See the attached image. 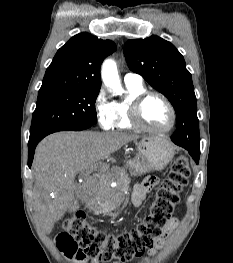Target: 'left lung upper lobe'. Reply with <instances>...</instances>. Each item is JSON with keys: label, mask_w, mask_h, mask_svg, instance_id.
I'll list each match as a JSON object with an SVG mask.
<instances>
[{"label": "left lung upper lobe", "mask_w": 233, "mask_h": 263, "mask_svg": "<svg viewBox=\"0 0 233 263\" xmlns=\"http://www.w3.org/2000/svg\"><path fill=\"white\" fill-rule=\"evenodd\" d=\"M124 54L129 68L164 94L173 105L177 119L172 141L199 148L196 97L183 56L173 44L158 36L128 40Z\"/></svg>", "instance_id": "left-lung-upper-lobe-1"}]
</instances>
